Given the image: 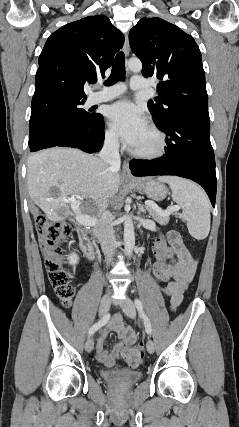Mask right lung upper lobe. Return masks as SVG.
<instances>
[{
  "instance_id": "right-lung-upper-lobe-1",
  "label": "right lung upper lobe",
  "mask_w": 239,
  "mask_h": 427,
  "mask_svg": "<svg viewBox=\"0 0 239 427\" xmlns=\"http://www.w3.org/2000/svg\"><path fill=\"white\" fill-rule=\"evenodd\" d=\"M124 36L103 15L85 17L55 31L39 56L34 98L86 99L84 84L104 76Z\"/></svg>"
}]
</instances>
